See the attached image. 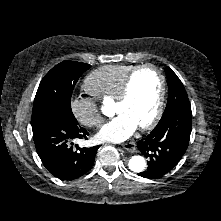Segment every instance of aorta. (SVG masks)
<instances>
[{
    "label": "aorta",
    "instance_id": "obj_1",
    "mask_svg": "<svg viewBox=\"0 0 221 221\" xmlns=\"http://www.w3.org/2000/svg\"><path fill=\"white\" fill-rule=\"evenodd\" d=\"M128 166L133 172H142L146 167V161L142 156H133L129 160Z\"/></svg>",
    "mask_w": 221,
    "mask_h": 221
}]
</instances>
